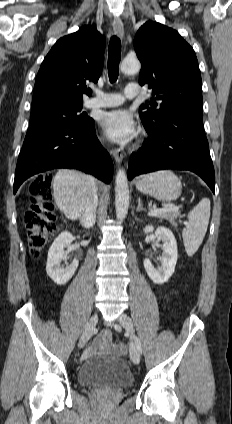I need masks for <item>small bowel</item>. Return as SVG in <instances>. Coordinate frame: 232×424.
Segmentation results:
<instances>
[{
  "instance_id": "c3829d8e",
  "label": "small bowel",
  "mask_w": 232,
  "mask_h": 424,
  "mask_svg": "<svg viewBox=\"0 0 232 424\" xmlns=\"http://www.w3.org/2000/svg\"><path fill=\"white\" fill-rule=\"evenodd\" d=\"M114 352L117 354H125L118 348L117 343L112 341L111 333L107 330L102 331L93 341V344L88 347L84 354V358H90L98 354H108Z\"/></svg>"
}]
</instances>
